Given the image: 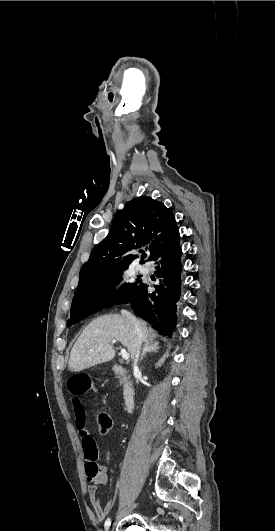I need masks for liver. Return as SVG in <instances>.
<instances>
[{"mask_svg":"<svg viewBox=\"0 0 275 531\" xmlns=\"http://www.w3.org/2000/svg\"><path fill=\"white\" fill-rule=\"evenodd\" d=\"M139 323L142 331L141 339L143 343H148L146 323L144 321ZM133 331V325L125 315H103L91 321L71 349L68 363L70 371L79 373L89 367L112 361L115 357L111 343L113 339L120 341L133 359L136 351Z\"/></svg>","mask_w":275,"mask_h":531,"instance_id":"liver-1","label":"liver"}]
</instances>
